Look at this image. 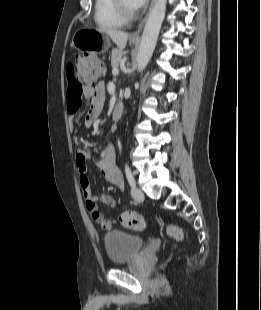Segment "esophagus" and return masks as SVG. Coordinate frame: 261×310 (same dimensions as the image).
Here are the masks:
<instances>
[{
  "label": "esophagus",
  "instance_id": "obj_1",
  "mask_svg": "<svg viewBox=\"0 0 261 310\" xmlns=\"http://www.w3.org/2000/svg\"><path fill=\"white\" fill-rule=\"evenodd\" d=\"M154 1H155V0H152L151 5H150V9H151V7L153 6ZM150 9H149V10H150ZM148 15H149V12H148L147 15L145 16V18L142 20V22L139 24L137 30H135V31L131 34V36H130L131 39H133V40H138V39H140V34H141L142 28H143V26H144V23H145V21H146Z\"/></svg>",
  "mask_w": 261,
  "mask_h": 310
}]
</instances>
